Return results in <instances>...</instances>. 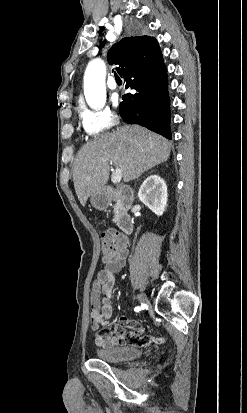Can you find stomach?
<instances>
[{"instance_id": "stomach-1", "label": "stomach", "mask_w": 247, "mask_h": 413, "mask_svg": "<svg viewBox=\"0 0 247 413\" xmlns=\"http://www.w3.org/2000/svg\"><path fill=\"white\" fill-rule=\"evenodd\" d=\"M90 202L93 204V207L95 209H98V211H103V209H106L108 207V204L111 202V194H109L108 190H99V192H93V194H90Z\"/></svg>"}]
</instances>
